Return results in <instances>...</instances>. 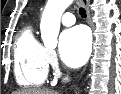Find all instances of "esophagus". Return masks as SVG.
<instances>
[{"mask_svg": "<svg viewBox=\"0 0 121 94\" xmlns=\"http://www.w3.org/2000/svg\"><path fill=\"white\" fill-rule=\"evenodd\" d=\"M82 6L85 8L87 12V17H88V22L90 26L93 28L92 23H91V15H90V9H89V0H80ZM86 69H84L83 73L85 72Z\"/></svg>", "mask_w": 121, "mask_h": 94, "instance_id": "34e87169", "label": "esophagus"}]
</instances>
